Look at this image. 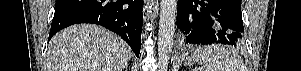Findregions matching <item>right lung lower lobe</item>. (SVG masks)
I'll return each instance as SVG.
<instances>
[{"label":"right lung lower lobe","instance_id":"98d812e1","mask_svg":"<svg viewBox=\"0 0 301 71\" xmlns=\"http://www.w3.org/2000/svg\"><path fill=\"white\" fill-rule=\"evenodd\" d=\"M142 4L143 0H56L49 39L73 24H98L120 35L139 57Z\"/></svg>","mask_w":301,"mask_h":71}]
</instances>
